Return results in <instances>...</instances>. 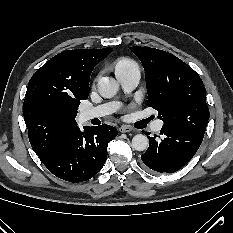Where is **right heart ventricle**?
<instances>
[{
    "instance_id": "1",
    "label": "right heart ventricle",
    "mask_w": 233,
    "mask_h": 233,
    "mask_svg": "<svg viewBox=\"0 0 233 233\" xmlns=\"http://www.w3.org/2000/svg\"><path fill=\"white\" fill-rule=\"evenodd\" d=\"M132 67H137V65L133 60L128 58H120L113 64V68L116 74Z\"/></svg>"
}]
</instances>
